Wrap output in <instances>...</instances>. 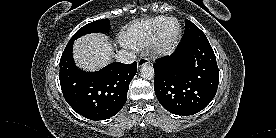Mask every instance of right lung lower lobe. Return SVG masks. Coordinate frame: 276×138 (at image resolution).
Listing matches in <instances>:
<instances>
[{"label":"right lung lower lobe","mask_w":276,"mask_h":138,"mask_svg":"<svg viewBox=\"0 0 276 138\" xmlns=\"http://www.w3.org/2000/svg\"><path fill=\"white\" fill-rule=\"evenodd\" d=\"M74 41H69L60 60V85L67 103L80 115L91 120L116 115L127 100L130 81L137 64L113 62L99 71L79 69L72 55Z\"/></svg>","instance_id":"right-lung-lower-lobe-1"}]
</instances>
